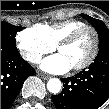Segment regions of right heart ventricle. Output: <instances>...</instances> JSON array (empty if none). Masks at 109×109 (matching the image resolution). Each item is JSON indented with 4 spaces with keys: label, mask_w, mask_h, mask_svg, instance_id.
Returning a JSON list of instances; mask_svg holds the SVG:
<instances>
[{
    "label": "right heart ventricle",
    "mask_w": 109,
    "mask_h": 109,
    "mask_svg": "<svg viewBox=\"0 0 109 109\" xmlns=\"http://www.w3.org/2000/svg\"><path fill=\"white\" fill-rule=\"evenodd\" d=\"M85 25L83 21L71 19L54 24H45L41 27L51 42L56 45L73 31Z\"/></svg>",
    "instance_id": "1"
}]
</instances>
